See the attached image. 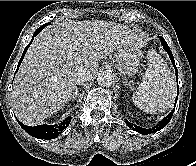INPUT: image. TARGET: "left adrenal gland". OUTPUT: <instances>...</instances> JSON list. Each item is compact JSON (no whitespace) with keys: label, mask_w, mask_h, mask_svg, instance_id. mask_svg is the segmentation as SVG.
<instances>
[{"label":"left adrenal gland","mask_w":196,"mask_h":166,"mask_svg":"<svg viewBox=\"0 0 196 166\" xmlns=\"http://www.w3.org/2000/svg\"><path fill=\"white\" fill-rule=\"evenodd\" d=\"M124 84L131 87V84H130V82L128 81V79H125Z\"/></svg>","instance_id":"a2214340"}]
</instances>
